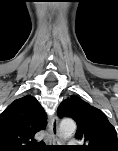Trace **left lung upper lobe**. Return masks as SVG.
I'll return each mask as SVG.
<instances>
[{"label": "left lung upper lobe", "instance_id": "obj_1", "mask_svg": "<svg viewBox=\"0 0 118 151\" xmlns=\"http://www.w3.org/2000/svg\"><path fill=\"white\" fill-rule=\"evenodd\" d=\"M57 113L60 118L71 117L76 121L75 136L85 143L78 146L79 150L118 151L116 130L101 110L74 95L62 101Z\"/></svg>", "mask_w": 118, "mask_h": 151}]
</instances>
